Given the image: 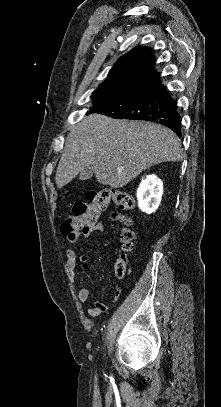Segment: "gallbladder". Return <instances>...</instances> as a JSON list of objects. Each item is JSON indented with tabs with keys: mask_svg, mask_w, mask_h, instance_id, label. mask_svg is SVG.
I'll list each match as a JSON object with an SVG mask.
<instances>
[{
	"mask_svg": "<svg viewBox=\"0 0 221 407\" xmlns=\"http://www.w3.org/2000/svg\"><path fill=\"white\" fill-rule=\"evenodd\" d=\"M92 176H93V171L89 170V169H86L80 173V179H82V180L90 179Z\"/></svg>",
	"mask_w": 221,
	"mask_h": 407,
	"instance_id": "obj_1",
	"label": "gallbladder"
}]
</instances>
